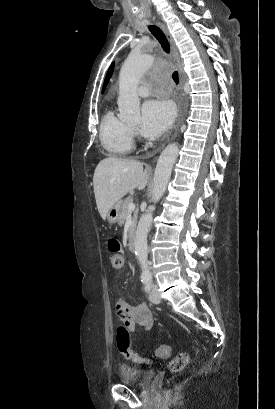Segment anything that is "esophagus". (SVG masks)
<instances>
[{
	"instance_id": "esophagus-1",
	"label": "esophagus",
	"mask_w": 275,
	"mask_h": 409,
	"mask_svg": "<svg viewBox=\"0 0 275 409\" xmlns=\"http://www.w3.org/2000/svg\"><path fill=\"white\" fill-rule=\"evenodd\" d=\"M159 27L161 28L162 32L165 34L168 42L171 45V49H172V54L173 57L177 63V67H178V71H179V87L180 90L183 91V87H184V82H185V76H184V72L182 69V64H181V60H180V56H179V52L175 46L174 40L169 32V30L167 29V27L163 24L158 22ZM164 146V144H162V147Z\"/></svg>"
}]
</instances>
